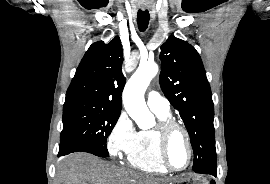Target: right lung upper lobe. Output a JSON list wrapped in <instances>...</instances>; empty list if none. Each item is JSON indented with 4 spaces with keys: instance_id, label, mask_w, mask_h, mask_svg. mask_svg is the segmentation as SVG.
Masks as SVG:
<instances>
[{
    "instance_id": "cb5924a9",
    "label": "right lung upper lobe",
    "mask_w": 270,
    "mask_h": 184,
    "mask_svg": "<svg viewBox=\"0 0 270 184\" xmlns=\"http://www.w3.org/2000/svg\"><path fill=\"white\" fill-rule=\"evenodd\" d=\"M122 47L118 36L93 43L85 53L65 100H82L121 113L125 85Z\"/></svg>"
}]
</instances>
